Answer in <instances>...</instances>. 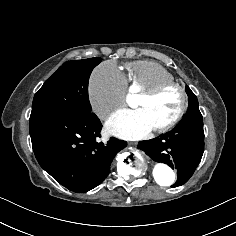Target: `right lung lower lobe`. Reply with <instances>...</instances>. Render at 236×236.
<instances>
[{"label": "right lung lower lobe", "instance_id": "1", "mask_svg": "<svg viewBox=\"0 0 236 236\" xmlns=\"http://www.w3.org/2000/svg\"><path fill=\"white\" fill-rule=\"evenodd\" d=\"M102 124L90 113H59L29 123L32 147L40 166L61 185L77 193L98 186L115 155L127 142L114 137L103 144Z\"/></svg>", "mask_w": 236, "mask_h": 236}]
</instances>
